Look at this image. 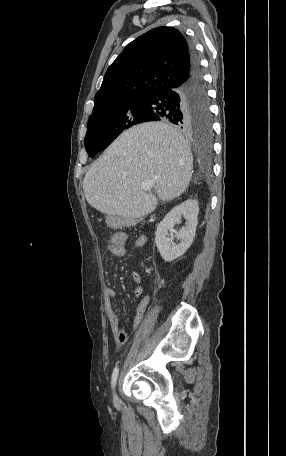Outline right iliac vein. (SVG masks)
Listing matches in <instances>:
<instances>
[{
    "label": "right iliac vein",
    "instance_id": "1",
    "mask_svg": "<svg viewBox=\"0 0 286 456\" xmlns=\"http://www.w3.org/2000/svg\"><path fill=\"white\" fill-rule=\"evenodd\" d=\"M113 399H114V402H115V403H118V402H119L118 396H117L116 394H114Z\"/></svg>",
    "mask_w": 286,
    "mask_h": 456
}]
</instances>
